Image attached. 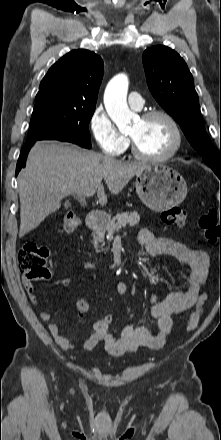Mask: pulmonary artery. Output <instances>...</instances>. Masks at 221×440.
Segmentation results:
<instances>
[{
	"label": "pulmonary artery",
	"instance_id": "pulmonary-artery-1",
	"mask_svg": "<svg viewBox=\"0 0 221 440\" xmlns=\"http://www.w3.org/2000/svg\"><path fill=\"white\" fill-rule=\"evenodd\" d=\"M128 103L131 108L140 110L144 105V99L138 92H131L128 96Z\"/></svg>",
	"mask_w": 221,
	"mask_h": 440
}]
</instances>
